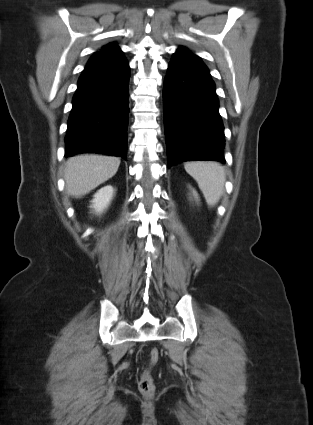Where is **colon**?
Returning <instances> with one entry per match:
<instances>
[{"mask_svg": "<svg viewBox=\"0 0 313 425\" xmlns=\"http://www.w3.org/2000/svg\"><path fill=\"white\" fill-rule=\"evenodd\" d=\"M160 351L153 348L149 354L148 367L143 371L139 381V390L145 397H151L155 393V383L151 375V368L159 361Z\"/></svg>", "mask_w": 313, "mask_h": 425, "instance_id": "colon-1", "label": "colon"}]
</instances>
